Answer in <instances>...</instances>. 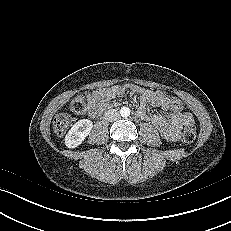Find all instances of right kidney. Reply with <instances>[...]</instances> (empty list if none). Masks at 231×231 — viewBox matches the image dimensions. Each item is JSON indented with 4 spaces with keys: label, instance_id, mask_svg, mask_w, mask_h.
Returning a JSON list of instances; mask_svg holds the SVG:
<instances>
[{
    "label": "right kidney",
    "instance_id": "ca27d5eb",
    "mask_svg": "<svg viewBox=\"0 0 231 231\" xmlns=\"http://www.w3.org/2000/svg\"><path fill=\"white\" fill-rule=\"evenodd\" d=\"M93 127L92 121L81 119L77 121L65 136V144L68 148L79 146L84 139L90 134Z\"/></svg>",
    "mask_w": 231,
    "mask_h": 231
}]
</instances>
